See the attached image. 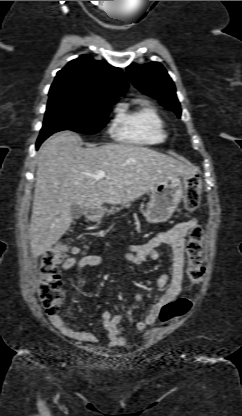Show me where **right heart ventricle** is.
Returning <instances> with one entry per match:
<instances>
[{
    "label": "right heart ventricle",
    "instance_id": "1",
    "mask_svg": "<svg viewBox=\"0 0 242 416\" xmlns=\"http://www.w3.org/2000/svg\"><path fill=\"white\" fill-rule=\"evenodd\" d=\"M119 137L135 144H158L165 141V123L155 107L147 102L135 106L122 103L117 107Z\"/></svg>",
    "mask_w": 242,
    "mask_h": 416
}]
</instances>
